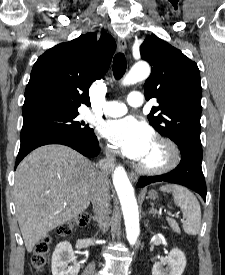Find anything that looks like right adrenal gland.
Wrapping results in <instances>:
<instances>
[{
  "instance_id": "2a0ac1e0",
  "label": "right adrenal gland",
  "mask_w": 225,
  "mask_h": 275,
  "mask_svg": "<svg viewBox=\"0 0 225 275\" xmlns=\"http://www.w3.org/2000/svg\"><path fill=\"white\" fill-rule=\"evenodd\" d=\"M91 218H92L94 221H96V219H95V217H94V216H91Z\"/></svg>"
}]
</instances>
